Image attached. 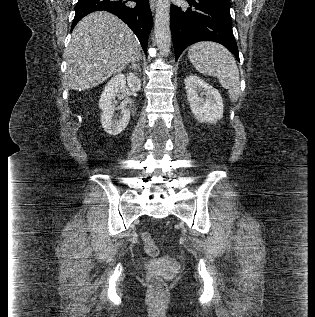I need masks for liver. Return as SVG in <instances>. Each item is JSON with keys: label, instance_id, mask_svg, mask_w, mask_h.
Wrapping results in <instances>:
<instances>
[{"label": "liver", "instance_id": "6515ba94", "mask_svg": "<svg viewBox=\"0 0 315 317\" xmlns=\"http://www.w3.org/2000/svg\"><path fill=\"white\" fill-rule=\"evenodd\" d=\"M139 53V41L124 22L107 12L91 13L76 25L65 52L67 86L73 90L98 86Z\"/></svg>", "mask_w": 315, "mask_h": 317}]
</instances>
